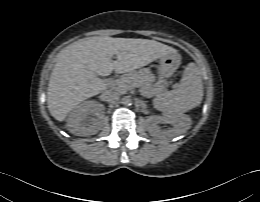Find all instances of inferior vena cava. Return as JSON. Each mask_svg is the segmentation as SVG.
<instances>
[{
  "label": "inferior vena cava",
  "mask_w": 260,
  "mask_h": 202,
  "mask_svg": "<svg viewBox=\"0 0 260 202\" xmlns=\"http://www.w3.org/2000/svg\"><path fill=\"white\" fill-rule=\"evenodd\" d=\"M103 99L109 103H116L119 100L120 93L115 90H106L102 94Z\"/></svg>",
  "instance_id": "obj_1"
}]
</instances>
